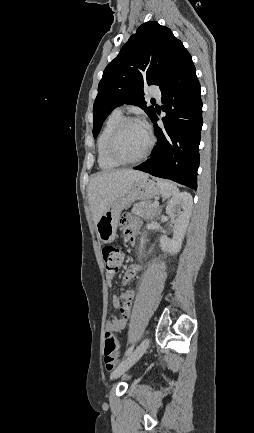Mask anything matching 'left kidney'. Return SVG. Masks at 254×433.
Here are the masks:
<instances>
[{
	"label": "left kidney",
	"instance_id": "obj_1",
	"mask_svg": "<svg viewBox=\"0 0 254 433\" xmlns=\"http://www.w3.org/2000/svg\"><path fill=\"white\" fill-rule=\"evenodd\" d=\"M193 199L190 193L180 192L172 197L166 207V214L174 221L173 238H160L163 251L176 254L180 251L184 235L189 223Z\"/></svg>",
	"mask_w": 254,
	"mask_h": 433
}]
</instances>
